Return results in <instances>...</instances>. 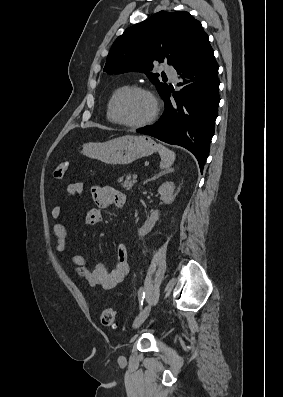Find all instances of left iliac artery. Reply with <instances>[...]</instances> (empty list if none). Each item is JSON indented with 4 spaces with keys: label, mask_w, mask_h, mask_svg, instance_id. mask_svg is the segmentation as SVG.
<instances>
[{
    "label": "left iliac artery",
    "mask_w": 283,
    "mask_h": 397,
    "mask_svg": "<svg viewBox=\"0 0 283 397\" xmlns=\"http://www.w3.org/2000/svg\"><path fill=\"white\" fill-rule=\"evenodd\" d=\"M144 289L141 287L138 291V298H139V305H140V310L142 309L143 302H144Z\"/></svg>",
    "instance_id": "left-iliac-artery-1"
}]
</instances>
